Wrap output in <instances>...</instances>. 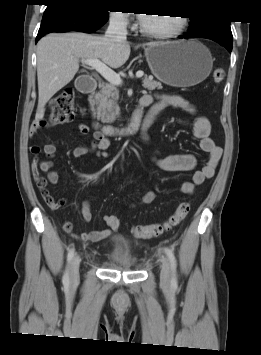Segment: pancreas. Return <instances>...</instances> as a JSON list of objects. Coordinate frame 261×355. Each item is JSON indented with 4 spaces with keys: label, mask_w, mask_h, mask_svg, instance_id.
<instances>
[{
    "label": "pancreas",
    "mask_w": 261,
    "mask_h": 355,
    "mask_svg": "<svg viewBox=\"0 0 261 355\" xmlns=\"http://www.w3.org/2000/svg\"><path fill=\"white\" fill-rule=\"evenodd\" d=\"M143 87L150 91L162 89L160 82L147 77L143 79ZM118 99L119 92L116 86L111 83H104L100 86V91L89 101L97 114L98 120H101L102 123H113L119 116L120 109L117 104Z\"/></svg>",
    "instance_id": "pancreas-1"
}]
</instances>
